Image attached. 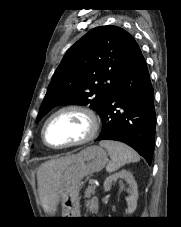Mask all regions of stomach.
Segmentation results:
<instances>
[{
	"label": "stomach",
	"instance_id": "1",
	"mask_svg": "<svg viewBox=\"0 0 181 227\" xmlns=\"http://www.w3.org/2000/svg\"><path fill=\"white\" fill-rule=\"evenodd\" d=\"M108 162L107 152L100 146H89L76 155L68 166L64 191L61 194L62 217H78L79 191L84 177L102 170Z\"/></svg>",
	"mask_w": 181,
	"mask_h": 227
}]
</instances>
